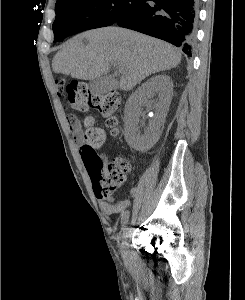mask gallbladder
I'll return each mask as SVG.
<instances>
[{
	"label": "gallbladder",
	"instance_id": "obj_1",
	"mask_svg": "<svg viewBox=\"0 0 245 300\" xmlns=\"http://www.w3.org/2000/svg\"><path fill=\"white\" fill-rule=\"evenodd\" d=\"M117 86L118 82L108 75L97 77L89 83L90 91L96 96L103 95L110 90L116 89Z\"/></svg>",
	"mask_w": 245,
	"mask_h": 300
}]
</instances>
